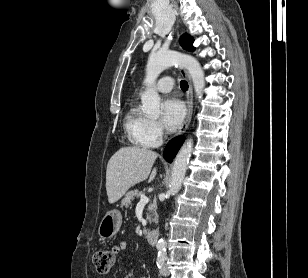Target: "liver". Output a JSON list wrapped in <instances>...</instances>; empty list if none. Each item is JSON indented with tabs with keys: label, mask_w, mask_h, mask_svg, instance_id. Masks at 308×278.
I'll return each mask as SVG.
<instances>
[{
	"label": "liver",
	"mask_w": 308,
	"mask_h": 278,
	"mask_svg": "<svg viewBox=\"0 0 308 278\" xmlns=\"http://www.w3.org/2000/svg\"><path fill=\"white\" fill-rule=\"evenodd\" d=\"M158 157L152 150L139 147H122L109 160L106 170L108 202H117L132 186L146 180L151 182L157 169L151 168Z\"/></svg>",
	"instance_id": "1"
}]
</instances>
